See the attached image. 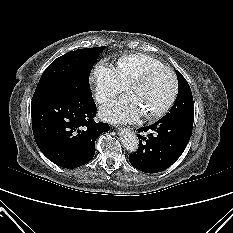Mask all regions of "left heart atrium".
<instances>
[{"instance_id": "39dd6f15", "label": "left heart atrium", "mask_w": 233, "mask_h": 233, "mask_svg": "<svg viewBox=\"0 0 233 233\" xmlns=\"http://www.w3.org/2000/svg\"><path fill=\"white\" fill-rule=\"evenodd\" d=\"M141 114L140 106L132 94H126L101 109V116L112 122H132Z\"/></svg>"}]
</instances>
